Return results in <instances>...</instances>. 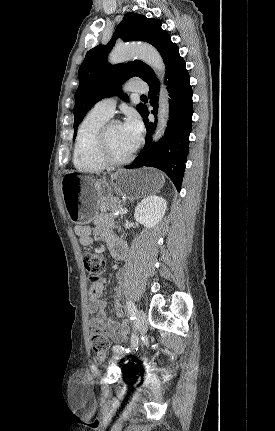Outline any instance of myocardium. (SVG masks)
<instances>
[{
    "mask_svg": "<svg viewBox=\"0 0 275 431\" xmlns=\"http://www.w3.org/2000/svg\"><path fill=\"white\" fill-rule=\"evenodd\" d=\"M113 124H120L118 120H109L101 128L97 138V154L100 160L109 167H118L128 164L134 157V152L124 158L114 157L109 149L108 133Z\"/></svg>",
    "mask_w": 275,
    "mask_h": 431,
    "instance_id": "1",
    "label": "myocardium"
}]
</instances>
